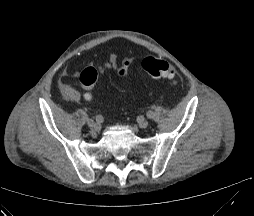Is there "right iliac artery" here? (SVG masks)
<instances>
[{
    "label": "right iliac artery",
    "instance_id": "82829eb1",
    "mask_svg": "<svg viewBox=\"0 0 254 216\" xmlns=\"http://www.w3.org/2000/svg\"><path fill=\"white\" fill-rule=\"evenodd\" d=\"M103 120H104V119H103V116H102V115H97V116H96V122H97V123H102Z\"/></svg>",
    "mask_w": 254,
    "mask_h": 216
}]
</instances>
